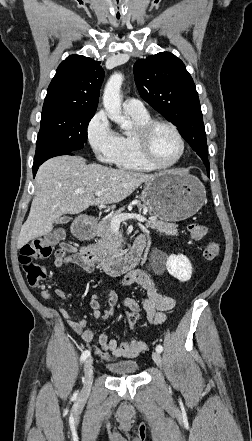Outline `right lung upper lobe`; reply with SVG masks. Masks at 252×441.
I'll list each match as a JSON object with an SVG mask.
<instances>
[{
	"instance_id": "cb5924a9",
	"label": "right lung upper lobe",
	"mask_w": 252,
	"mask_h": 441,
	"mask_svg": "<svg viewBox=\"0 0 252 441\" xmlns=\"http://www.w3.org/2000/svg\"><path fill=\"white\" fill-rule=\"evenodd\" d=\"M104 71L100 62L70 55L57 68L44 100L43 110L67 109L95 112Z\"/></svg>"
}]
</instances>
